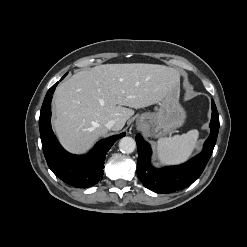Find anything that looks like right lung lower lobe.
<instances>
[{
    "label": "right lung lower lobe",
    "mask_w": 247,
    "mask_h": 247,
    "mask_svg": "<svg viewBox=\"0 0 247 247\" xmlns=\"http://www.w3.org/2000/svg\"><path fill=\"white\" fill-rule=\"evenodd\" d=\"M57 83L47 92L39 118L43 152L49 168L65 183L74 187H90L103 176L106 153L125 133L100 140L86 156L73 155L65 151L51 129V100Z\"/></svg>",
    "instance_id": "obj_1"
}]
</instances>
